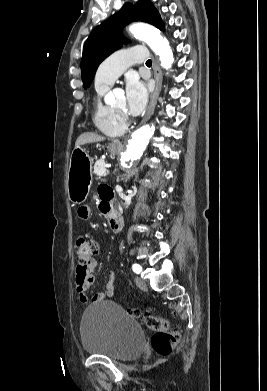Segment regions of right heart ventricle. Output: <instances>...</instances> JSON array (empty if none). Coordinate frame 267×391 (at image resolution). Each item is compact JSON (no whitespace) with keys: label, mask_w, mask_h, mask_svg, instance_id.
Instances as JSON below:
<instances>
[{"label":"right heart ventricle","mask_w":267,"mask_h":391,"mask_svg":"<svg viewBox=\"0 0 267 391\" xmlns=\"http://www.w3.org/2000/svg\"><path fill=\"white\" fill-rule=\"evenodd\" d=\"M108 87H97L96 96L93 101V122L97 129L110 137H117L125 132L126 125L121 123L114 115L110 106L106 105L102 97Z\"/></svg>","instance_id":"1"}]
</instances>
